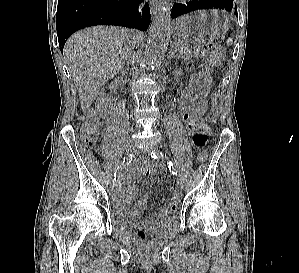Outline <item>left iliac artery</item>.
I'll use <instances>...</instances> for the list:
<instances>
[{
  "label": "left iliac artery",
  "instance_id": "1",
  "mask_svg": "<svg viewBox=\"0 0 299 273\" xmlns=\"http://www.w3.org/2000/svg\"><path fill=\"white\" fill-rule=\"evenodd\" d=\"M150 156L154 159L156 158H161L163 157V153L162 152H159V151H152L150 153ZM168 167H169V170L173 173V175H178V169L177 167L172 163V161H168Z\"/></svg>",
  "mask_w": 299,
  "mask_h": 273
}]
</instances>
